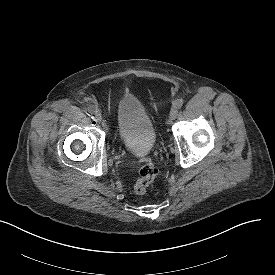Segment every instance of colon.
<instances>
[{
	"instance_id": "1",
	"label": "colon",
	"mask_w": 275,
	"mask_h": 275,
	"mask_svg": "<svg viewBox=\"0 0 275 275\" xmlns=\"http://www.w3.org/2000/svg\"><path fill=\"white\" fill-rule=\"evenodd\" d=\"M157 174L156 166L151 158H145L141 161L139 176L134 184V192L143 195L147 192L149 186Z\"/></svg>"
}]
</instances>
